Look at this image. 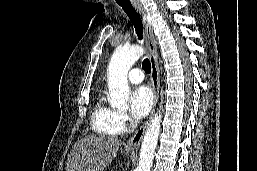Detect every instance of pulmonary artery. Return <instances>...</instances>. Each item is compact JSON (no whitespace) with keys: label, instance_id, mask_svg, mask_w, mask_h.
<instances>
[{"label":"pulmonary artery","instance_id":"obj_1","mask_svg":"<svg viewBox=\"0 0 257 171\" xmlns=\"http://www.w3.org/2000/svg\"><path fill=\"white\" fill-rule=\"evenodd\" d=\"M128 80L133 84H139L144 80V74L139 68H133L128 73Z\"/></svg>","mask_w":257,"mask_h":171}]
</instances>
